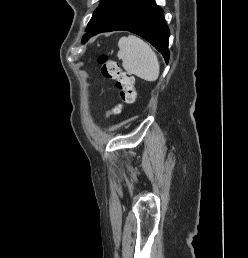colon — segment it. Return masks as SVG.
<instances>
[{
    "mask_svg": "<svg viewBox=\"0 0 248 258\" xmlns=\"http://www.w3.org/2000/svg\"><path fill=\"white\" fill-rule=\"evenodd\" d=\"M98 62L102 75L116 81L120 98V102L111 109L108 115H120L124 104H132L135 102L136 90L134 77L131 73L124 71L118 61L112 60L106 55H102Z\"/></svg>",
    "mask_w": 248,
    "mask_h": 258,
    "instance_id": "1",
    "label": "colon"
}]
</instances>
